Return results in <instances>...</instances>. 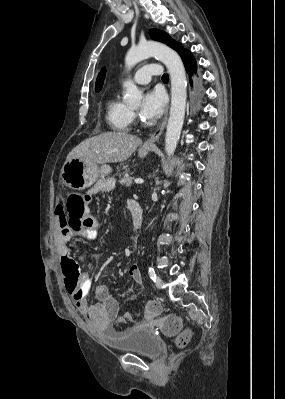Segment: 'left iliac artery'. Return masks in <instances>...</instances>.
Here are the masks:
<instances>
[{
    "label": "left iliac artery",
    "instance_id": "44dca946",
    "mask_svg": "<svg viewBox=\"0 0 285 399\" xmlns=\"http://www.w3.org/2000/svg\"><path fill=\"white\" fill-rule=\"evenodd\" d=\"M148 272H149V276H150V278L155 282L156 281V274H155V270H154V268H152V267H149V270H148Z\"/></svg>",
    "mask_w": 285,
    "mask_h": 399
}]
</instances>
